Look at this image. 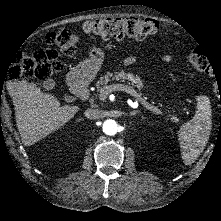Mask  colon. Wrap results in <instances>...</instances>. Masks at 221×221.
<instances>
[{
    "mask_svg": "<svg viewBox=\"0 0 221 221\" xmlns=\"http://www.w3.org/2000/svg\"><path fill=\"white\" fill-rule=\"evenodd\" d=\"M82 29L85 34L100 38H121L128 35L140 39L155 33L157 26L148 18L130 15L86 20ZM42 41L47 46L45 50L16 57L9 73L12 81L20 82L33 76L49 79L60 68L56 61L59 53L72 54L78 36L66 29L50 30L43 35ZM184 59L202 73L211 72V61L200 52L187 54Z\"/></svg>",
    "mask_w": 221,
    "mask_h": 221,
    "instance_id": "colon-1",
    "label": "colon"
}]
</instances>
